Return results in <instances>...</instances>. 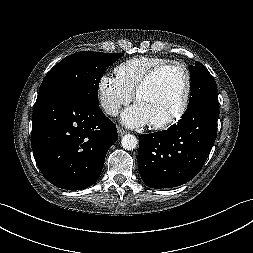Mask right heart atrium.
<instances>
[{
  "mask_svg": "<svg viewBox=\"0 0 253 253\" xmlns=\"http://www.w3.org/2000/svg\"><path fill=\"white\" fill-rule=\"evenodd\" d=\"M99 99L103 110L111 116L132 100V94L120 85L114 77L103 75L98 83Z\"/></svg>",
  "mask_w": 253,
  "mask_h": 253,
  "instance_id": "obj_1",
  "label": "right heart atrium"
}]
</instances>
